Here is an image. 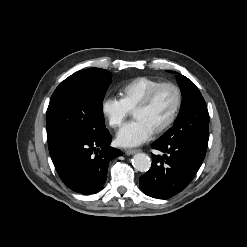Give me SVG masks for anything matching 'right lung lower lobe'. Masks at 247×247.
<instances>
[{"instance_id":"98d812e1","label":"right lung lower lobe","mask_w":247,"mask_h":247,"mask_svg":"<svg viewBox=\"0 0 247 247\" xmlns=\"http://www.w3.org/2000/svg\"><path fill=\"white\" fill-rule=\"evenodd\" d=\"M107 129L96 135L73 137L49 147L50 156L61 180L83 195L102 190L109 161L122 155L110 145Z\"/></svg>"}]
</instances>
